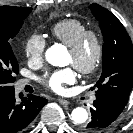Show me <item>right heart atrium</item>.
Segmentation results:
<instances>
[{"label":"right heart atrium","instance_id":"d8ad5b80","mask_svg":"<svg viewBox=\"0 0 133 133\" xmlns=\"http://www.w3.org/2000/svg\"><path fill=\"white\" fill-rule=\"evenodd\" d=\"M46 40L41 34L33 33L24 43V54L29 62L41 64L44 59Z\"/></svg>","mask_w":133,"mask_h":133}]
</instances>
